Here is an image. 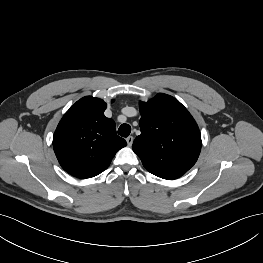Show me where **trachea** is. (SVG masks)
I'll list each match as a JSON object with an SVG mask.
<instances>
[{"label":"trachea","instance_id":"1","mask_svg":"<svg viewBox=\"0 0 263 263\" xmlns=\"http://www.w3.org/2000/svg\"><path fill=\"white\" fill-rule=\"evenodd\" d=\"M131 133V126L129 124H122L118 129V134L122 137H128Z\"/></svg>","mask_w":263,"mask_h":263}]
</instances>
